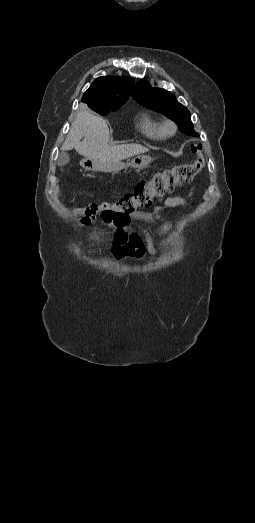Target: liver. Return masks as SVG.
<instances>
[{
  "label": "liver",
  "instance_id": "1",
  "mask_svg": "<svg viewBox=\"0 0 255 523\" xmlns=\"http://www.w3.org/2000/svg\"><path fill=\"white\" fill-rule=\"evenodd\" d=\"M109 140L110 132L105 120L100 116H94L88 110H80L61 150L75 148L80 156L101 164L102 172L121 170L123 168L121 160L148 152V148H144L140 144L109 146Z\"/></svg>",
  "mask_w": 255,
  "mask_h": 523
}]
</instances>
